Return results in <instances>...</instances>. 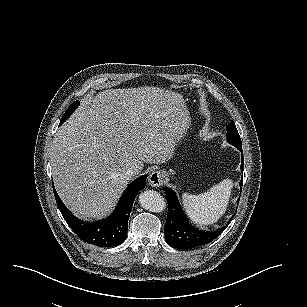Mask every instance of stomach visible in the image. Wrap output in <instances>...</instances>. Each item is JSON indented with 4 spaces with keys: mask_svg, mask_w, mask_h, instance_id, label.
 <instances>
[{
    "mask_svg": "<svg viewBox=\"0 0 307 307\" xmlns=\"http://www.w3.org/2000/svg\"><path fill=\"white\" fill-rule=\"evenodd\" d=\"M168 175H169L168 173L164 172V176H165V177H167Z\"/></svg>",
    "mask_w": 307,
    "mask_h": 307,
    "instance_id": "1",
    "label": "stomach"
}]
</instances>
